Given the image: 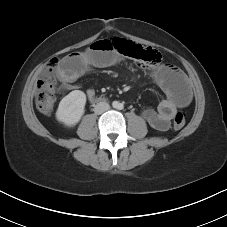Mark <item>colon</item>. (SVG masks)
<instances>
[{
    "label": "colon",
    "instance_id": "obj_1",
    "mask_svg": "<svg viewBox=\"0 0 227 227\" xmlns=\"http://www.w3.org/2000/svg\"><path fill=\"white\" fill-rule=\"evenodd\" d=\"M106 40L111 41L115 46V50L118 51L120 54L137 61L140 65L144 67H155L161 61V54L150 47H143L139 44H135L129 40L121 38H112ZM59 65V59H51L48 64V72H52ZM36 87L37 108L41 113L45 115H50L53 112L55 103L54 83L51 79V76L49 74L41 76L37 82ZM185 122L186 114L184 112H178L175 114L173 120V126L175 129L182 128L185 125Z\"/></svg>",
    "mask_w": 227,
    "mask_h": 227
}]
</instances>
